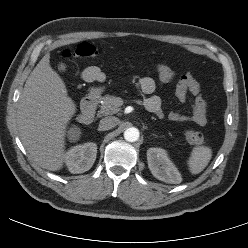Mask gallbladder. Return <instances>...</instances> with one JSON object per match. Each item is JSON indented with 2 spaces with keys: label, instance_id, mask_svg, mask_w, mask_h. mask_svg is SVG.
<instances>
[{
  "label": "gallbladder",
  "instance_id": "obj_1",
  "mask_svg": "<svg viewBox=\"0 0 248 248\" xmlns=\"http://www.w3.org/2000/svg\"><path fill=\"white\" fill-rule=\"evenodd\" d=\"M66 68H67V66H66V64L65 63H59L58 64V70L60 71V72H65L66 71Z\"/></svg>",
  "mask_w": 248,
  "mask_h": 248
}]
</instances>
